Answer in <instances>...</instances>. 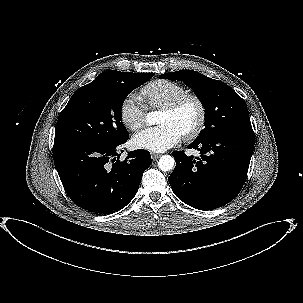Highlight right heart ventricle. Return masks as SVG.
<instances>
[{"mask_svg":"<svg viewBox=\"0 0 303 303\" xmlns=\"http://www.w3.org/2000/svg\"><path fill=\"white\" fill-rule=\"evenodd\" d=\"M141 92L148 106L158 109L186 94L187 90L182 85L170 80H155L145 85Z\"/></svg>","mask_w":303,"mask_h":303,"instance_id":"obj_1","label":"right heart ventricle"}]
</instances>
